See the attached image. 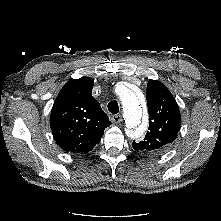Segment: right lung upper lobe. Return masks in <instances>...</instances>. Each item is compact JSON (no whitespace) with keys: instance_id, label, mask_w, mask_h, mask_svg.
Returning a JSON list of instances; mask_svg holds the SVG:
<instances>
[{"instance_id":"right-lung-upper-lobe-1","label":"right lung upper lobe","mask_w":221,"mask_h":221,"mask_svg":"<svg viewBox=\"0 0 221 221\" xmlns=\"http://www.w3.org/2000/svg\"><path fill=\"white\" fill-rule=\"evenodd\" d=\"M93 84L89 77L70 80L53 104L51 130L57 144L66 152L91 151L100 142L104 129L111 125L91 94Z\"/></svg>"}]
</instances>
